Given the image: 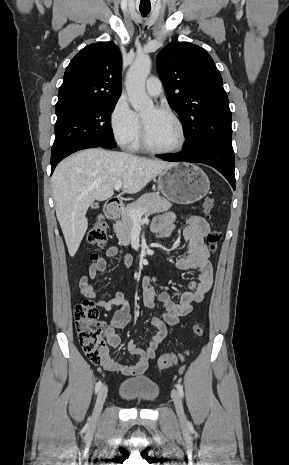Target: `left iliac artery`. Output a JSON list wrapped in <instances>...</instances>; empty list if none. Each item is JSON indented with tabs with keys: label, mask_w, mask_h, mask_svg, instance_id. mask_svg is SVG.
Returning a JSON list of instances; mask_svg holds the SVG:
<instances>
[{
	"label": "left iliac artery",
	"mask_w": 289,
	"mask_h": 465,
	"mask_svg": "<svg viewBox=\"0 0 289 465\" xmlns=\"http://www.w3.org/2000/svg\"><path fill=\"white\" fill-rule=\"evenodd\" d=\"M176 388H177L180 396L183 397L184 396L183 386L180 383H177Z\"/></svg>",
	"instance_id": "obj_1"
}]
</instances>
